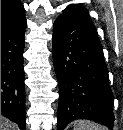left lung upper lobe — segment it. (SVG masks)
I'll return each mask as SVG.
<instances>
[{
  "mask_svg": "<svg viewBox=\"0 0 123 130\" xmlns=\"http://www.w3.org/2000/svg\"><path fill=\"white\" fill-rule=\"evenodd\" d=\"M67 7L70 8L74 12L75 16H77L82 22L95 28L90 20L88 10L85 9L83 6H80L79 4H70Z\"/></svg>",
  "mask_w": 123,
  "mask_h": 130,
  "instance_id": "obj_1",
  "label": "left lung upper lobe"
}]
</instances>
